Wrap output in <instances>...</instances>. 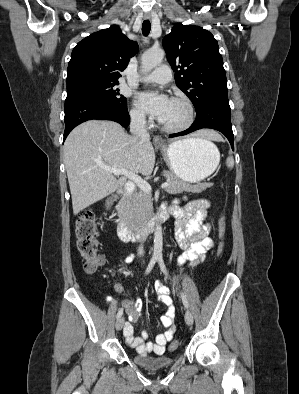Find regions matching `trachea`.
<instances>
[{
	"instance_id": "obj_1",
	"label": "trachea",
	"mask_w": 299,
	"mask_h": 394,
	"mask_svg": "<svg viewBox=\"0 0 299 394\" xmlns=\"http://www.w3.org/2000/svg\"><path fill=\"white\" fill-rule=\"evenodd\" d=\"M151 30V23L149 20H145L142 24V33L143 35L147 36Z\"/></svg>"
}]
</instances>
